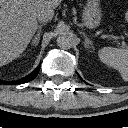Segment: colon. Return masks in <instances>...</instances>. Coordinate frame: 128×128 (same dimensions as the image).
I'll use <instances>...</instances> for the list:
<instances>
[{
    "instance_id": "5ec220e1",
    "label": "colon",
    "mask_w": 128,
    "mask_h": 128,
    "mask_svg": "<svg viewBox=\"0 0 128 128\" xmlns=\"http://www.w3.org/2000/svg\"><path fill=\"white\" fill-rule=\"evenodd\" d=\"M125 19L128 21V10L125 12Z\"/></svg>"
}]
</instances>
